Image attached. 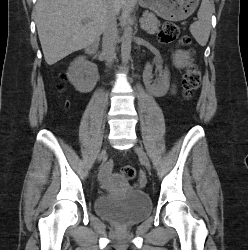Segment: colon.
Listing matches in <instances>:
<instances>
[{"instance_id":"5ec220e1","label":"colon","mask_w":248,"mask_h":250,"mask_svg":"<svg viewBox=\"0 0 248 250\" xmlns=\"http://www.w3.org/2000/svg\"><path fill=\"white\" fill-rule=\"evenodd\" d=\"M162 43L178 42L181 44L189 45L191 43L187 36L180 34L178 28L172 23H165L159 34ZM201 82V73L195 64H190L183 75L182 87L183 95L186 99L193 97L195 91L198 89ZM121 175L126 181H131L135 178L136 171L131 165H125L121 168Z\"/></svg>"}]
</instances>
